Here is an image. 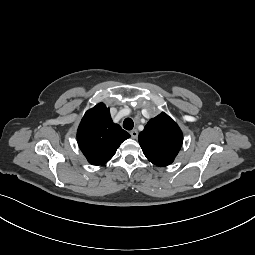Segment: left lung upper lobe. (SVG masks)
<instances>
[{
    "mask_svg": "<svg viewBox=\"0 0 255 255\" xmlns=\"http://www.w3.org/2000/svg\"><path fill=\"white\" fill-rule=\"evenodd\" d=\"M183 142L178 125L165 113L149 120L139 134V144L147 159L157 166L171 164Z\"/></svg>",
    "mask_w": 255,
    "mask_h": 255,
    "instance_id": "left-lung-upper-lobe-1",
    "label": "left lung upper lobe"
}]
</instances>
